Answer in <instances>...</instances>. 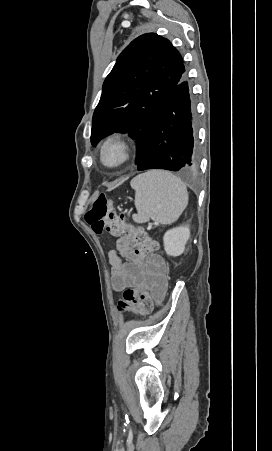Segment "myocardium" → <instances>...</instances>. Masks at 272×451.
I'll return each mask as SVG.
<instances>
[{
	"label": "myocardium",
	"mask_w": 272,
	"mask_h": 451,
	"mask_svg": "<svg viewBox=\"0 0 272 451\" xmlns=\"http://www.w3.org/2000/svg\"><path fill=\"white\" fill-rule=\"evenodd\" d=\"M115 152L119 156V160L115 164L106 162L105 156L108 152ZM129 150L127 145L120 139L115 137L108 138L101 146L99 151V163L109 169L118 170L123 167L129 160Z\"/></svg>",
	"instance_id": "obj_1"
}]
</instances>
